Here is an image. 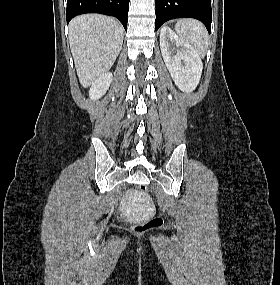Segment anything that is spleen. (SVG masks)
Segmentation results:
<instances>
[{"mask_svg": "<svg viewBox=\"0 0 280 285\" xmlns=\"http://www.w3.org/2000/svg\"><path fill=\"white\" fill-rule=\"evenodd\" d=\"M175 31L181 39L194 47L200 57H205L209 37L202 23L193 19H182L176 23Z\"/></svg>", "mask_w": 280, "mask_h": 285, "instance_id": "obj_1", "label": "spleen"}]
</instances>
